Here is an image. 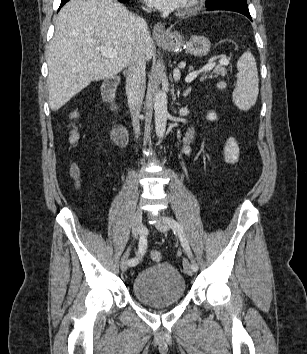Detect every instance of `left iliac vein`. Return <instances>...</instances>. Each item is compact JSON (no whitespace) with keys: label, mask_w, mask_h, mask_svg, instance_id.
Returning a JSON list of instances; mask_svg holds the SVG:
<instances>
[{"label":"left iliac vein","mask_w":307,"mask_h":354,"mask_svg":"<svg viewBox=\"0 0 307 354\" xmlns=\"http://www.w3.org/2000/svg\"><path fill=\"white\" fill-rule=\"evenodd\" d=\"M156 228L163 233H166L169 230V226L167 224V222L165 221V218H163V220H158L155 224ZM183 267H184V271L186 274H188L189 276L193 275V269L189 263V261L187 259L183 260Z\"/></svg>","instance_id":"obj_1"}]
</instances>
